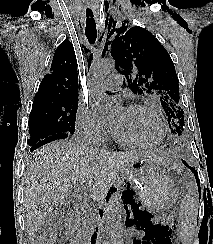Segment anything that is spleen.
<instances>
[{"label":"spleen","instance_id":"obj_1","mask_svg":"<svg viewBox=\"0 0 213 244\" xmlns=\"http://www.w3.org/2000/svg\"><path fill=\"white\" fill-rule=\"evenodd\" d=\"M189 183L190 187L183 195L178 216V230L183 244H191L197 232L199 194L193 178Z\"/></svg>","mask_w":213,"mask_h":244}]
</instances>
